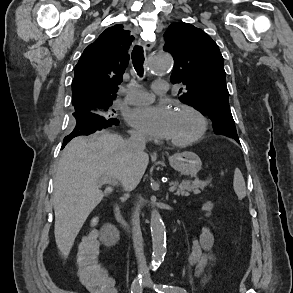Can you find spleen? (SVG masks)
Segmentation results:
<instances>
[{"label": "spleen", "mask_w": 293, "mask_h": 293, "mask_svg": "<svg viewBox=\"0 0 293 293\" xmlns=\"http://www.w3.org/2000/svg\"><path fill=\"white\" fill-rule=\"evenodd\" d=\"M233 188L239 199H243L246 196L245 181L240 169L238 168L234 171Z\"/></svg>", "instance_id": "3e777b00"}]
</instances>
